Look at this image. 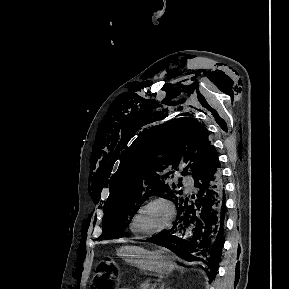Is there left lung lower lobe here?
Returning a JSON list of instances; mask_svg holds the SVG:
<instances>
[{"mask_svg": "<svg viewBox=\"0 0 289 289\" xmlns=\"http://www.w3.org/2000/svg\"><path fill=\"white\" fill-rule=\"evenodd\" d=\"M195 191L174 202L177 217L173 227L150 242L166 247L187 261H201L210 280L216 276L223 247L226 212L225 190L216 150L194 176Z\"/></svg>", "mask_w": 289, "mask_h": 289, "instance_id": "obj_1", "label": "left lung lower lobe"}]
</instances>
